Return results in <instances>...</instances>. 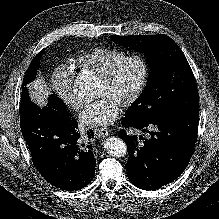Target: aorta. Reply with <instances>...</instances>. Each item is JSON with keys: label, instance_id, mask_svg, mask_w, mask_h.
<instances>
[{"label": "aorta", "instance_id": "aorta-1", "mask_svg": "<svg viewBox=\"0 0 219 219\" xmlns=\"http://www.w3.org/2000/svg\"><path fill=\"white\" fill-rule=\"evenodd\" d=\"M78 95L82 97L84 94H92L91 84L84 83L83 81L77 82ZM104 149L113 157H123L127 153V146L125 142L118 137H110L104 142Z\"/></svg>", "mask_w": 219, "mask_h": 219}]
</instances>
